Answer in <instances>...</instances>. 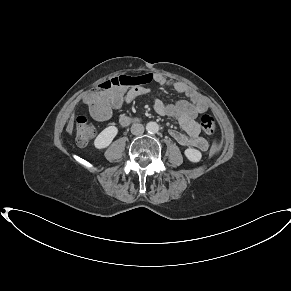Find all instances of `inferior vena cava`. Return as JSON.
<instances>
[{
    "label": "inferior vena cava",
    "instance_id": "obj_1",
    "mask_svg": "<svg viewBox=\"0 0 291 291\" xmlns=\"http://www.w3.org/2000/svg\"><path fill=\"white\" fill-rule=\"evenodd\" d=\"M131 133L133 135H142L144 133V126L142 124H133L131 126Z\"/></svg>",
    "mask_w": 291,
    "mask_h": 291
}]
</instances>
